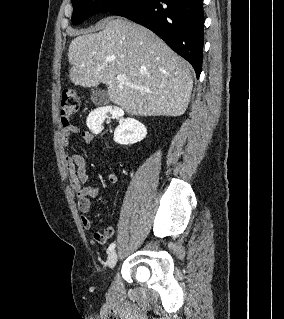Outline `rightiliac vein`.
<instances>
[{
	"mask_svg": "<svg viewBox=\"0 0 284 319\" xmlns=\"http://www.w3.org/2000/svg\"><path fill=\"white\" fill-rule=\"evenodd\" d=\"M117 260H118L117 253L115 251L110 252V254L108 255V258H107V266L110 269H113L117 263Z\"/></svg>",
	"mask_w": 284,
	"mask_h": 319,
	"instance_id": "1",
	"label": "right iliac vein"
}]
</instances>
